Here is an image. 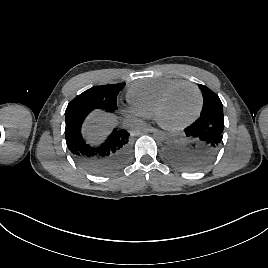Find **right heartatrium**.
<instances>
[{
  "instance_id": "1",
  "label": "right heart atrium",
  "mask_w": 268,
  "mask_h": 268,
  "mask_svg": "<svg viewBox=\"0 0 268 268\" xmlns=\"http://www.w3.org/2000/svg\"><path fill=\"white\" fill-rule=\"evenodd\" d=\"M124 112L132 117V118H135V119H138V120H143V119H146L148 118L143 112H141L140 110L136 109L135 107L133 106H127L124 108Z\"/></svg>"
}]
</instances>
